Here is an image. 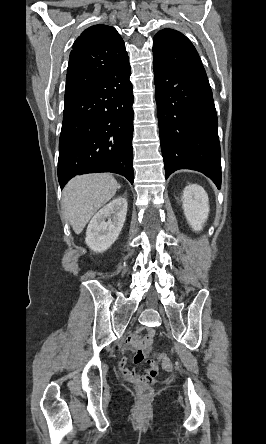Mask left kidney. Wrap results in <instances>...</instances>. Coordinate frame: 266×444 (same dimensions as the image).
I'll return each mask as SVG.
<instances>
[{
    "instance_id": "1",
    "label": "left kidney",
    "mask_w": 266,
    "mask_h": 444,
    "mask_svg": "<svg viewBox=\"0 0 266 444\" xmlns=\"http://www.w3.org/2000/svg\"><path fill=\"white\" fill-rule=\"evenodd\" d=\"M182 207L192 229L202 230L210 210L208 195L203 187L197 184L187 185L182 194Z\"/></svg>"
}]
</instances>
